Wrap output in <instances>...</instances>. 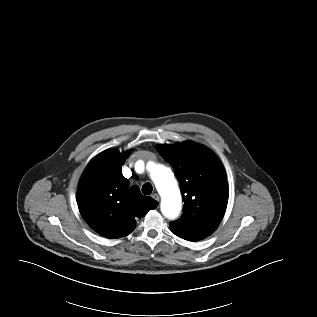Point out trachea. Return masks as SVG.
Wrapping results in <instances>:
<instances>
[{
    "label": "trachea",
    "instance_id": "trachea-1",
    "mask_svg": "<svg viewBox=\"0 0 317 317\" xmlns=\"http://www.w3.org/2000/svg\"><path fill=\"white\" fill-rule=\"evenodd\" d=\"M153 187L150 183H145L142 187V193L149 195L152 193Z\"/></svg>",
    "mask_w": 317,
    "mask_h": 317
}]
</instances>
